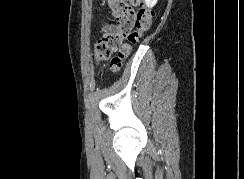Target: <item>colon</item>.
Returning <instances> with one entry per match:
<instances>
[{"mask_svg": "<svg viewBox=\"0 0 244 179\" xmlns=\"http://www.w3.org/2000/svg\"><path fill=\"white\" fill-rule=\"evenodd\" d=\"M140 0H111L109 6L115 17L117 30L105 33L95 45V60L110 62L112 71H118L129 56L132 47L149 31L153 10L147 6L135 4ZM138 6L139 8H136Z\"/></svg>", "mask_w": 244, "mask_h": 179, "instance_id": "5ec220e1", "label": "colon"}]
</instances>
